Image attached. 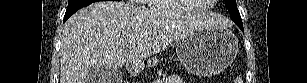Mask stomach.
<instances>
[{
	"instance_id": "obj_1",
	"label": "stomach",
	"mask_w": 307,
	"mask_h": 83,
	"mask_svg": "<svg viewBox=\"0 0 307 83\" xmlns=\"http://www.w3.org/2000/svg\"><path fill=\"white\" fill-rule=\"evenodd\" d=\"M176 46L181 64L197 76L219 73L233 62L239 50L236 36L222 29L201 30L183 36L176 41Z\"/></svg>"
}]
</instances>
